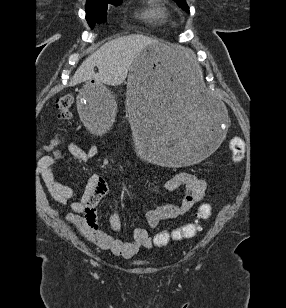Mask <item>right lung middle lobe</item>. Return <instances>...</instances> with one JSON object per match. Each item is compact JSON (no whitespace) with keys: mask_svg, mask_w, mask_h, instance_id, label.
Instances as JSON below:
<instances>
[{"mask_svg":"<svg viewBox=\"0 0 286 308\" xmlns=\"http://www.w3.org/2000/svg\"><path fill=\"white\" fill-rule=\"evenodd\" d=\"M122 0H105L99 2H87L86 4V19L91 28L94 23H102L106 20L108 4L119 5Z\"/></svg>","mask_w":286,"mask_h":308,"instance_id":"1","label":"right lung middle lobe"}]
</instances>
